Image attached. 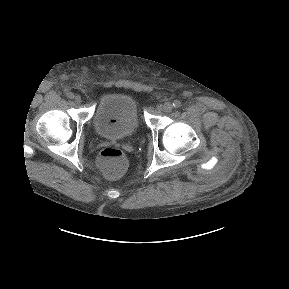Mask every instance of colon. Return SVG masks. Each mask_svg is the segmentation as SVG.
I'll list each match as a JSON object with an SVG mask.
<instances>
[{
    "instance_id": "colon-1",
    "label": "colon",
    "mask_w": 289,
    "mask_h": 289,
    "mask_svg": "<svg viewBox=\"0 0 289 289\" xmlns=\"http://www.w3.org/2000/svg\"><path fill=\"white\" fill-rule=\"evenodd\" d=\"M97 166L106 177L116 178L125 171L127 158L119 148L106 147L98 156Z\"/></svg>"
}]
</instances>
